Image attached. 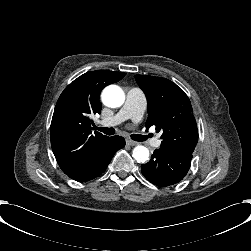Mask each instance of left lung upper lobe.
<instances>
[{
  "label": "left lung upper lobe",
  "mask_w": 251,
  "mask_h": 251,
  "mask_svg": "<svg viewBox=\"0 0 251 251\" xmlns=\"http://www.w3.org/2000/svg\"><path fill=\"white\" fill-rule=\"evenodd\" d=\"M135 80L148 99L146 129L155 126L156 132H162L160 148L193 154L198 129L185 92L162 77L135 75Z\"/></svg>",
  "instance_id": "5c2ea615"
}]
</instances>
